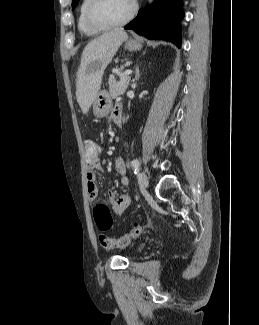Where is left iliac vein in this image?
<instances>
[{"instance_id":"1","label":"left iliac vein","mask_w":259,"mask_h":325,"mask_svg":"<svg viewBox=\"0 0 259 325\" xmlns=\"http://www.w3.org/2000/svg\"><path fill=\"white\" fill-rule=\"evenodd\" d=\"M138 183L142 188H146L148 186L149 180L145 172H140L138 174Z\"/></svg>"}]
</instances>
